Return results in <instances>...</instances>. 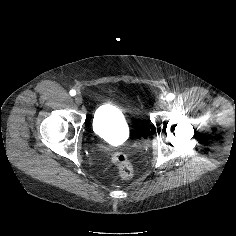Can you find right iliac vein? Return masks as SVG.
I'll return each mask as SVG.
<instances>
[{
  "label": "right iliac vein",
  "instance_id": "63e3f726",
  "mask_svg": "<svg viewBox=\"0 0 236 236\" xmlns=\"http://www.w3.org/2000/svg\"><path fill=\"white\" fill-rule=\"evenodd\" d=\"M82 102H83L82 96L79 95V94H77V95L75 96V103H76L77 105H81Z\"/></svg>",
  "mask_w": 236,
  "mask_h": 236
}]
</instances>
